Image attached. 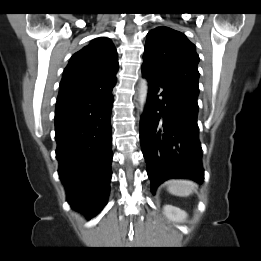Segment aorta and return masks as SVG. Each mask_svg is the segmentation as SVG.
<instances>
[{
	"label": "aorta",
	"instance_id": "762f6f07",
	"mask_svg": "<svg viewBox=\"0 0 261 261\" xmlns=\"http://www.w3.org/2000/svg\"><path fill=\"white\" fill-rule=\"evenodd\" d=\"M148 82L146 79H141L138 87V103L140 110H143L147 101Z\"/></svg>",
	"mask_w": 261,
	"mask_h": 261
}]
</instances>
